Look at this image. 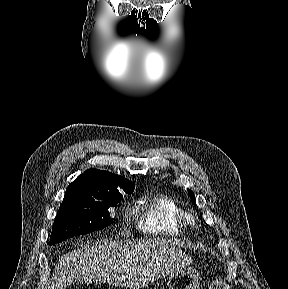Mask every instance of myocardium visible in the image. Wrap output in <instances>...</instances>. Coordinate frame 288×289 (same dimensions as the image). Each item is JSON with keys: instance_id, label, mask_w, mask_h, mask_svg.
Masks as SVG:
<instances>
[{"instance_id": "obj_1", "label": "myocardium", "mask_w": 288, "mask_h": 289, "mask_svg": "<svg viewBox=\"0 0 288 289\" xmlns=\"http://www.w3.org/2000/svg\"><path fill=\"white\" fill-rule=\"evenodd\" d=\"M190 222H193V223L196 222V219H195V217L193 215H190Z\"/></svg>"}]
</instances>
